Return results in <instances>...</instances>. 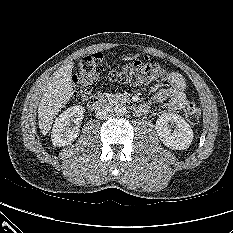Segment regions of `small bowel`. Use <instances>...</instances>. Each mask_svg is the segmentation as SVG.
<instances>
[{
  "instance_id": "small-bowel-1",
  "label": "small bowel",
  "mask_w": 233,
  "mask_h": 233,
  "mask_svg": "<svg viewBox=\"0 0 233 233\" xmlns=\"http://www.w3.org/2000/svg\"><path fill=\"white\" fill-rule=\"evenodd\" d=\"M169 87L159 90L154 94L151 100L153 103H162L167 101V107L170 110H180L187 104L186 82L183 76L177 72H171L168 76ZM146 111L149 106H143Z\"/></svg>"
}]
</instances>
